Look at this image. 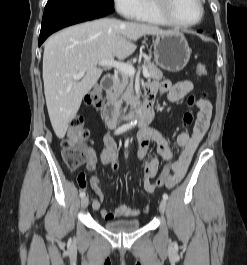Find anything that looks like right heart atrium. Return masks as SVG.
<instances>
[{"label":"right heart atrium","instance_id":"1","mask_svg":"<svg viewBox=\"0 0 247 265\" xmlns=\"http://www.w3.org/2000/svg\"><path fill=\"white\" fill-rule=\"evenodd\" d=\"M118 12L127 19H137L142 10V0H113Z\"/></svg>","mask_w":247,"mask_h":265}]
</instances>
